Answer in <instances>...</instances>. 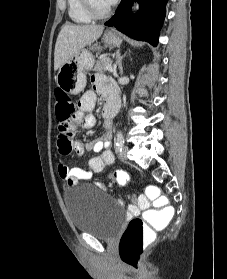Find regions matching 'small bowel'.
<instances>
[{"mask_svg":"<svg viewBox=\"0 0 227 279\" xmlns=\"http://www.w3.org/2000/svg\"><path fill=\"white\" fill-rule=\"evenodd\" d=\"M93 90L85 92L78 102L79 112L75 119V125L81 124L84 128L90 129L95 123V117L91 112L97 105L98 96H102L105 101L114 100L119 103L118 95L115 89L108 84L106 78L102 75L92 77ZM70 132L61 129L59 136V152L67 155L75 151L78 155H83L86 151L100 152V156L93 157L88 161L87 169L80 167L59 166V176L68 184H75L78 181L91 179L94 173H100L115 161V155L110 150L112 145L111 125L105 122L103 133L99 140L82 143L79 141L71 142ZM150 207V202L145 196H140L138 200H132L128 207L129 214H137Z\"/></svg>","mask_w":227,"mask_h":279,"instance_id":"1","label":"small bowel"}]
</instances>
